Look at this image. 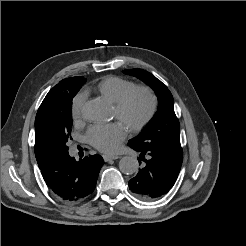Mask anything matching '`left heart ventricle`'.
<instances>
[{
    "label": "left heart ventricle",
    "mask_w": 246,
    "mask_h": 246,
    "mask_svg": "<svg viewBox=\"0 0 246 246\" xmlns=\"http://www.w3.org/2000/svg\"><path fill=\"white\" fill-rule=\"evenodd\" d=\"M149 109V100L146 95L138 94L129 105L122 118H119L118 111L114 109V116L120 119L124 124L140 120Z\"/></svg>",
    "instance_id": "1"
}]
</instances>
